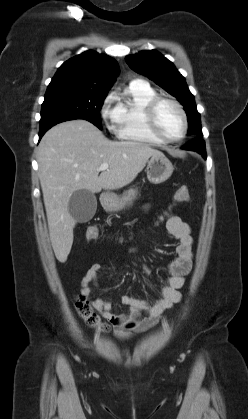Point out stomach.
<instances>
[{
    "label": "stomach",
    "mask_w": 248,
    "mask_h": 419,
    "mask_svg": "<svg viewBox=\"0 0 248 419\" xmlns=\"http://www.w3.org/2000/svg\"><path fill=\"white\" fill-rule=\"evenodd\" d=\"M174 167L165 156H152L148 161L146 172L148 180L153 184L166 181L173 173ZM136 199L135 192L123 196L110 195L102 204L108 211H120L132 205Z\"/></svg>",
    "instance_id": "stomach-1"
}]
</instances>
